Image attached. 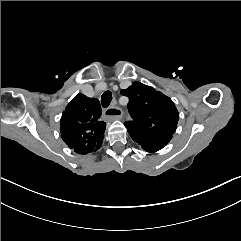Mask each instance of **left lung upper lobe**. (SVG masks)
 Segmentation results:
<instances>
[{
    "instance_id": "obj_1",
    "label": "left lung upper lobe",
    "mask_w": 241,
    "mask_h": 241,
    "mask_svg": "<svg viewBox=\"0 0 241 241\" xmlns=\"http://www.w3.org/2000/svg\"><path fill=\"white\" fill-rule=\"evenodd\" d=\"M129 98L132 121L124 123L131 138L147 152L162 149L176 131L179 113L173 101L139 82L121 91Z\"/></svg>"
}]
</instances>
